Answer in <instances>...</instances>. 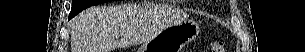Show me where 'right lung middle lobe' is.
<instances>
[{
  "instance_id": "dd1d6c3e",
  "label": "right lung middle lobe",
  "mask_w": 305,
  "mask_h": 52,
  "mask_svg": "<svg viewBox=\"0 0 305 52\" xmlns=\"http://www.w3.org/2000/svg\"><path fill=\"white\" fill-rule=\"evenodd\" d=\"M112 0H73L71 14L77 15L82 10L96 4L109 2Z\"/></svg>"
}]
</instances>
